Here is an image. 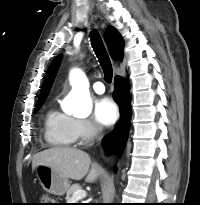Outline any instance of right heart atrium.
<instances>
[{"mask_svg":"<svg viewBox=\"0 0 200 205\" xmlns=\"http://www.w3.org/2000/svg\"><path fill=\"white\" fill-rule=\"evenodd\" d=\"M72 126L75 139L81 143H88L99 134V128L90 119L73 118Z\"/></svg>","mask_w":200,"mask_h":205,"instance_id":"obj_1","label":"right heart atrium"}]
</instances>
